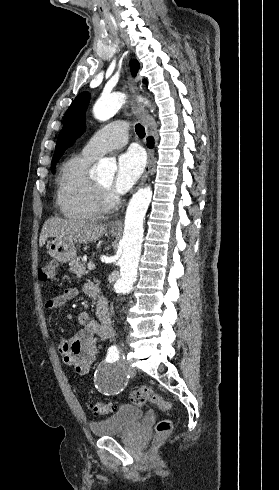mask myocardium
<instances>
[{
  "label": "myocardium",
  "mask_w": 279,
  "mask_h": 490,
  "mask_svg": "<svg viewBox=\"0 0 279 490\" xmlns=\"http://www.w3.org/2000/svg\"><path fill=\"white\" fill-rule=\"evenodd\" d=\"M98 189V200L100 209L103 211H110L116 208L118 202L116 198L113 197L112 192L109 187H103L101 185H96Z\"/></svg>",
  "instance_id": "f54148a6"
}]
</instances>
